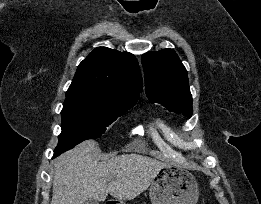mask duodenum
I'll return each instance as SVG.
<instances>
[{
    "mask_svg": "<svg viewBox=\"0 0 261 204\" xmlns=\"http://www.w3.org/2000/svg\"><path fill=\"white\" fill-rule=\"evenodd\" d=\"M106 204H114V203H112V202H108V203H106Z\"/></svg>",
    "mask_w": 261,
    "mask_h": 204,
    "instance_id": "obj_1",
    "label": "duodenum"
}]
</instances>
